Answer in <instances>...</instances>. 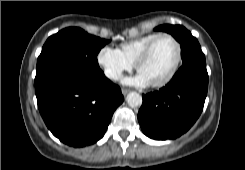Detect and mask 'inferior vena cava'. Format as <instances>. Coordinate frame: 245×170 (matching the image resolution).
Masks as SVG:
<instances>
[{
    "label": "inferior vena cava",
    "mask_w": 245,
    "mask_h": 170,
    "mask_svg": "<svg viewBox=\"0 0 245 170\" xmlns=\"http://www.w3.org/2000/svg\"><path fill=\"white\" fill-rule=\"evenodd\" d=\"M105 75L109 78L117 79L120 76V73L116 70L107 69L105 70Z\"/></svg>",
    "instance_id": "obj_1"
}]
</instances>
